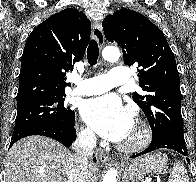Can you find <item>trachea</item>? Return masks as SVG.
<instances>
[{"label":"trachea","instance_id":"trachea-1","mask_svg":"<svg viewBox=\"0 0 196 182\" xmlns=\"http://www.w3.org/2000/svg\"><path fill=\"white\" fill-rule=\"evenodd\" d=\"M98 56H99V47H98V43L96 40H91L88 49H87V59H88V63L91 66H94L97 63L98 60Z\"/></svg>","mask_w":196,"mask_h":182}]
</instances>
